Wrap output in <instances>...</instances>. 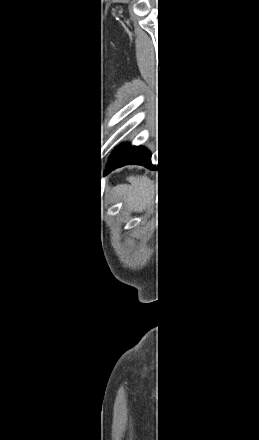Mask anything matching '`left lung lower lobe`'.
Returning <instances> with one entry per match:
<instances>
[{
  "label": "left lung lower lobe",
  "mask_w": 259,
  "mask_h": 440,
  "mask_svg": "<svg viewBox=\"0 0 259 440\" xmlns=\"http://www.w3.org/2000/svg\"><path fill=\"white\" fill-rule=\"evenodd\" d=\"M150 152L141 146L135 147L128 143L122 144L112 153L108 166L119 167L126 164H142L151 167Z\"/></svg>",
  "instance_id": "left-lung-lower-lobe-1"
}]
</instances>
